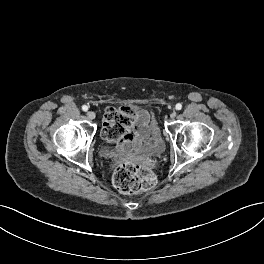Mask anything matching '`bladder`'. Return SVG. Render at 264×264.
<instances>
[{"label":"bladder","instance_id":"1","mask_svg":"<svg viewBox=\"0 0 264 264\" xmlns=\"http://www.w3.org/2000/svg\"><path fill=\"white\" fill-rule=\"evenodd\" d=\"M165 150V143L161 132L157 126L154 124L153 134L146 140L143 147L139 152L146 157H156L161 155ZM104 155H108L110 150L107 147L102 149Z\"/></svg>","mask_w":264,"mask_h":264}]
</instances>
